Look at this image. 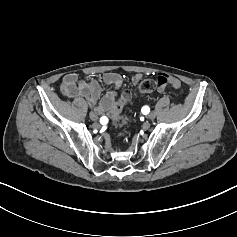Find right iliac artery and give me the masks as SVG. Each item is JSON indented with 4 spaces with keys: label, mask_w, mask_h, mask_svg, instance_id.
Instances as JSON below:
<instances>
[{
    "label": "right iliac artery",
    "mask_w": 237,
    "mask_h": 237,
    "mask_svg": "<svg viewBox=\"0 0 237 237\" xmlns=\"http://www.w3.org/2000/svg\"><path fill=\"white\" fill-rule=\"evenodd\" d=\"M103 121L107 122L108 118L106 116L101 117L100 119V123H102Z\"/></svg>",
    "instance_id": "obj_1"
}]
</instances>
